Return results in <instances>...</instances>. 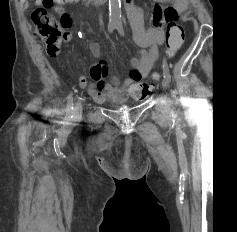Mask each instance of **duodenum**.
<instances>
[{"instance_id":"410a0bca","label":"duodenum","mask_w":237,"mask_h":232,"mask_svg":"<svg viewBox=\"0 0 237 232\" xmlns=\"http://www.w3.org/2000/svg\"><path fill=\"white\" fill-rule=\"evenodd\" d=\"M89 3H92V4H99V3H102L104 0H87ZM127 2H130V0H127Z\"/></svg>"}]
</instances>
